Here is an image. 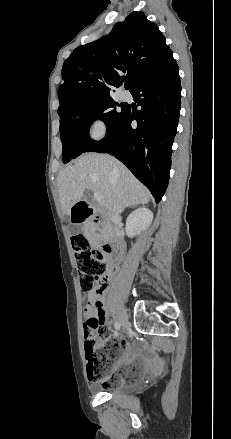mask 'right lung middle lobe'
<instances>
[{
    "label": "right lung middle lobe",
    "mask_w": 231,
    "mask_h": 439,
    "mask_svg": "<svg viewBox=\"0 0 231 439\" xmlns=\"http://www.w3.org/2000/svg\"><path fill=\"white\" fill-rule=\"evenodd\" d=\"M117 105L112 97H106L84 101L58 113L64 163L78 157L95 142L89 138L88 133L94 120H103L108 130L119 121L126 107H122L119 113L114 108Z\"/></svg>",
    "instance_id": "obj_1"
}]
</instances>
